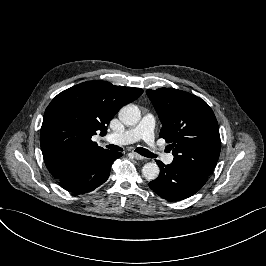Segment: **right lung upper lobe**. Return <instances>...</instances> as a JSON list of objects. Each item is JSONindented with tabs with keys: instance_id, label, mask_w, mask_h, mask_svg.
Here are the masks:
<instances>
[{
	"instance_id": "cb5924a9",
	"label": "right lung upper lobe",
	"mask_w": 266,
	"mask_h": 266,
	"mask_svg": "<svg viewBox=\"0 0 266 266\" xmlns=\"http://www.w3.org/2000/svg\"><path fill=\"white\" fill-rule=\"evenodd\" d=\"M142 89L114 86L105 81H88L58 94L47 107L40 131L44 162L58 179L73 160L105 149L91 137L101 131Z\"/></svg>"
}]
</instances>
